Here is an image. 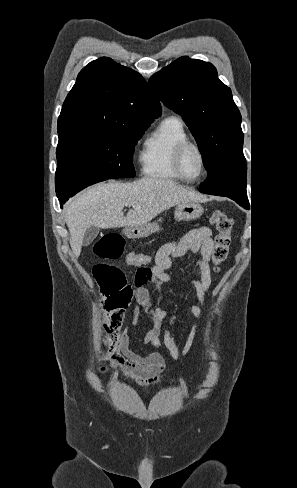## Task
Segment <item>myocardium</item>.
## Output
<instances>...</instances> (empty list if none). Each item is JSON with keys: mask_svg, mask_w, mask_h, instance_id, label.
Wrapping results in <instances>:
<instances>
[{"mask_svg": "<svg viewBox=\"0 0 297 488\" xmlns=\"http://www.w3.org/2000/svg\"><path fill=\"white\" fill-rule=\"evenodd\" d=\"M188 148H194L200 155L201 158V171L196 177H188L185 175L182 169V157L185 153V151ZM206 155L204 150L194 141L191 140H186L181 142L175 149L174 154H173V159H172V164H173V169L176 172V174L180 177V179L187 181V182H195L199 180L205 173L207 169V163H206Z\"/></svg>", "mask_w": 297, "mask_h": 488, "instance_id": "obj_1", "label": "myocardium"}]
</instances>
